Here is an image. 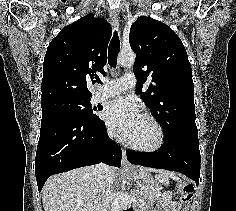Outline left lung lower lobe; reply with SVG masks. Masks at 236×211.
Wrapping results in <instances>:
<instances>
[{
	"label": "left lung lower lobe",
	"mask_w": 236,
	"mask_h": 211,
	"mask_svg": "<svg viewBox=\"0 0 236 211\" xmlns=\"http://www.w3.org/2000/svg\"><path fill=\"white\" fill-rule=\"evenodd\" d=\"M126 154L132 164L177 171L198 185L201 157L196 136L165 138L164 145L159 151L148 153L126 151Z\"/></svg>",
	"instance_id": "1"
}]
</instances>
